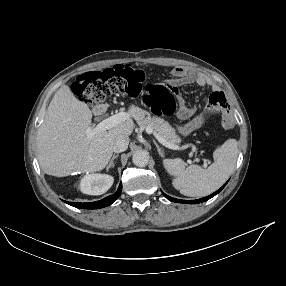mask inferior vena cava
Returning <instances> with one entry per match:
<instances>
[{"label": "inferior vena cava", "mask_w": 286, "mask_h": 286, "mask_svg": "<svg viewBox=\"0 0 286 286\" xmlns=\"http://www.w3.org/2000/svg\"><path fill=\"white\" fill-rule=\"evenodd\" d=\"M129 138L126 136H120L116 139L113 145V151L116 153H120L125 151L128 148Z\"/></svg>", "instance_id": "inferior-vena-cava-1"}]
</instances>
